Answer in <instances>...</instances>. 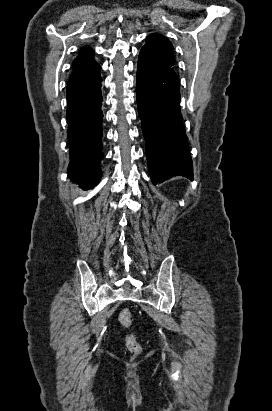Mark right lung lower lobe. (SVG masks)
<instances>
[{"label": "right lung lower lobe", "mask_w": 272, "mask_h": 411, "mask_svg": "<svg viewBox=\"0 0 272 411\" xmlns=\"http://www.w3.org/2000/svg\"><path fill=\"white\" fill-rule=\"evenodd\" d=\"M101 77L89 86L67 93L69 177L83 189L97 185L101 168L102 118Z\"/></svg>", "instance_id": "obj_1"}]
</instances>
